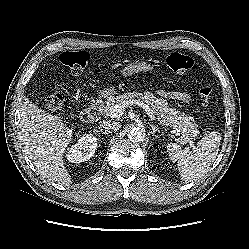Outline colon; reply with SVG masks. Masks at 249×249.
Wrapping results in <instances>:
<instances>
[{
  "label": "colon",
  "instance_id": "obj_1",
  "mask_svg": "<svg viewBox=\"0 0 249 249\" xmlns=\"http://www.w3.org/2000/svg\"><path fill=\"white\" fill-rule=\"evenodd\" d=\"M60 61L67 66L72 73H82L90 64L91 58L89 53L85 51H66L60 55ZM166 64L171 71L176 74H186L195 72L197 64L194 59L185 54L173 52L166 58ZM201 103L208 105L210 103L212 89L210 87H202L199 91ZM65 96L62 90H55L42 99L43 107L53 114H59L64 107Z\"/></svg>",
  "mask_w": 249,
  "mask_h": 249
}]
</instances>
